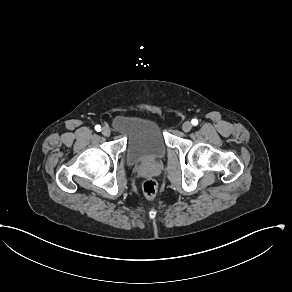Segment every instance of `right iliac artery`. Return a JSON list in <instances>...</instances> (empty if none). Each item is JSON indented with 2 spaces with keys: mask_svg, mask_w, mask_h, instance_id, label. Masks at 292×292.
Masks as SVG:
<instances>
[{
  "mask_svg": "<svg viewBox=\"0 0 292 292\" xmlns=\"http://www.w3.org/2000/svg\"><path fill=\"white\" fill-rule=\"evenodd\" d=\"M95 130L98 131V132L101 131V126L100 125H96L95 126Z\"/></svg>",
  "mask_w": 292,
  "mask_h": 292,
  "instance_id": "right-iliac-artery-1",
  "label": "right iliac artery"
}]
</instances>
